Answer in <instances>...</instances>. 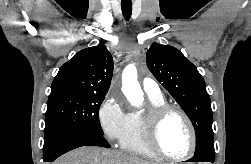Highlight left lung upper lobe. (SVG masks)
<instances>
[{
	"mask_svg": "<svg viewBox=\"0 0 251 164\" xmlns=\"http://www.w3.org/2000/svg\"><path fill=\"white\" fill-rule=\"evenodd\" d=\"M146 61L155 78L189 116L196 132L195 154L215 157L210 97L197 68L178 49L157 43L147 51Z\"/></svg>",
	"mask_w": 251,
	"mask_h": 164,
	"instance_id": "obj_1",
	"label": "left lung upper lobe"
}]
</instances>
